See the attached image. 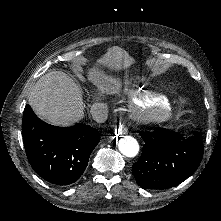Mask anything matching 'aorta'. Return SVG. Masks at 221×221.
I'll list each match as a JSON object with an SVG mask.
<instances>
[{
  "instance_id": "1",
  "label": "aorta",
  "mask_w": 221,
  "mask_h": 221,
  "mask_svg": "<svg viewBox=\"0 0 221 221\" xmlns=\"http://www.w3.org/2000/svg\"><path fill=\"white\" fill-rule=\"evenodd\" d=\"M118 148L126 157H135L139 152V144L137 140L131 136H123L118 141Z\"/></svg>"
}]
</instances>
